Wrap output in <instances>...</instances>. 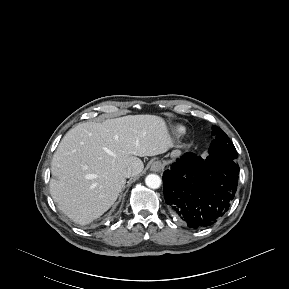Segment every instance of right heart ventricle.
<instances>
[{
    "mask_svg": "<svg viewBox=\"0 0 289 289\" xmlns=\"http://www.w3.org/2000/svg\"><path fill=\"white\" fill-rule=\"evenodd\" d=\"M177 131H178V133L182 134L184 132V129L180 127L177 129Z\"/></svg>",
    "mask_w": 289,
    "mask_h": 289,
    "instance_id": "e07e8e85",
    "label": "right heart ventricle"
}]
</instances>
